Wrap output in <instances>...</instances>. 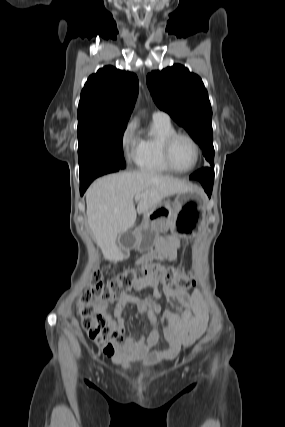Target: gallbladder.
Wrapping results in <instances>:
<instances>
[{"instance_id":"1","label":"gallbladder","mask_w":285,"mask_h":427,"mask_svg":"<svg viewBox=\"0 0 285 427\" xmlns=\"http://www.w3.org/2000/svg\"><path fill=\"white\" fill-rule=\"evenodd\" d=\"M125 236H126V233H124V234H122L121 236H120V244L122 245V246H124L125 244H124V238H125Z\"/></svg>"}]
</instances>
